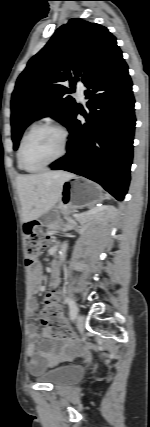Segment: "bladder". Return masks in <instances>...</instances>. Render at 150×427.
Here are the masks:
<instances>
[{
  "mask_svg": "<svg viewBox=\"0 0 150 427\" xmlns=\"http://www.w3.org/2000/svg\"><path fill=\"white\" fill-rule=\"evenodd\" d=\"M81 374V367L77 365H65L42 374L39 379L54 387H61L77 380Z\"/></svg>",
  "mask_w": 150,
  "mask_h": 427,
  "instance_id": "1",
  "label": "bladder"
}]
</instances>
